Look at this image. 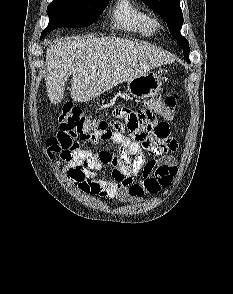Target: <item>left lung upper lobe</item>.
Masks as SVG:
<instances>
[{"instance_id": "1", "label": "left lung upper lobe", "mask_w": 233, "mask_h": 294, "mask_svg": "<svg viewBox=\"0 0 233 294\" xmlns=\"http://www.w3.org/2000/svg\"><path fill=\"white\" fill-rule=\"evenodd\" d=\"M143 2L156 11L167 23L168 28L180 49H183L184 59L189 61V43L180 34L183 24V14L180 8V0H143Z\"/></svg>"}]
</instances>
